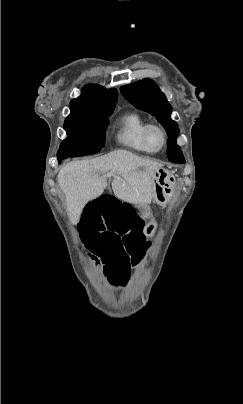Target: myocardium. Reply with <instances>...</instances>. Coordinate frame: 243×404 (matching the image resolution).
I'll list each match as a JSON object with an SVG mask.
<instances>
[{
	"label": "myocardium",
	"instance_id": "f54148a6",
	"mask_svg": "<svg viewBox=\"0 0 243 404\" xmlns=\"http://www.w3.org/2000/svg\"><path fill=\"white\" fill-rule=\"evenodd\" d=\"M153 131L157 132L160 136L159 144H155L152 140L151 133ZM143 136L148 144H150L151 146H154L156 148H162L165 145L166 140H167V134H166L164 127L162 125H160L159 123H155V122H150V123L146 124V126L144 127Z\"/></svg>",
	"mask_w": 243,
	"mask_h": 404
}]
</instances>
